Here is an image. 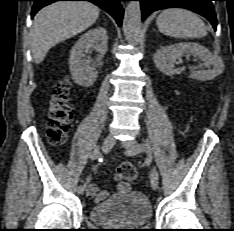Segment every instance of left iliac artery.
Returning <instances> with one entry per match:
<instances>
[{"label":"left iliac artery","mask_w":234,"mask_h":231,"mask_svg":"<svg viewBox=\"0 0 234 231\" xmlns=\"http://www.w3.org/2000/svg\"><path fill=\"white\" fill-rule=\"evenodd\" d=\"M139 150H144L146 151L147 153H151L152 149H151V146L149 143H142V144H139ZM128 155H132L134 154L132 151H127L126 152Z\"/></svg>","instance_id":"1"}]
</instances>
